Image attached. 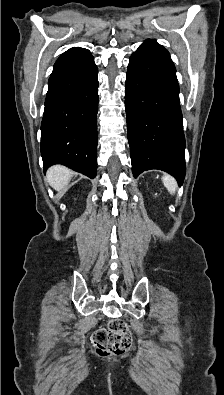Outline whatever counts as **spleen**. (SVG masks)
<instances>
[{
    "mask_svg": "<svg viewBox=\"0 0 224 395\" xmlns=\"http://www.w3.org/2000/svg\"><path fill=\"white\" fill-rule=\"evenodd\" d=\"M162 181L169 193L172 195L175 194L177 188L176 180L170 175H163Z\"/></svg>",
    "mask_w": 224,
    "mask_h": 395,
    "instance_id": "obj_1",
    "label": "spleen"
}]
</instances>
